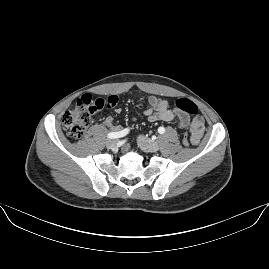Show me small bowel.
<instances>
[{"label": "small bowel", "mask_w": 269, "mask_h": 269, "mask_svg": "<svg viewBox=\"0 0 269 269\" xmlns=\"http://www.w3.org/2000/svg\"><path fill=\"white\" fill-rule=\"evenodd\" d=\"M117 102V100H116ZM120 112L119 110L117 111ZM147 115L149 122L164 121L172 122L175 120L179 121V124L183 127L190 124V115L181 109L176 108L172 112L169 109V103L167 100L158 98L156 96H151L147 100V109L144 112ZM102 124L111 129H116L115 119L112 115H108L103 118ZM196 125V126H195ZM194 126V136L192 139L193 144H198L204 129V120L201 116H196L191 122V128Z\"/></svg>", "instance_id": "1"}]
</instances>
